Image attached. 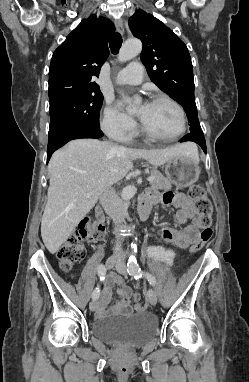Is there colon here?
<instances>
[{
    "instance_id": "obj_1",
    "label": "colon",
    "mask_w": 249,
    "mask_h": 382,
    "mask_svg": "<svg viewBox=\"0 0 249 382\" xmlns=\"http://www.w3.org/2000/svg\"><path fill=\"white\" fill-rule=\"evenodd\" d=\"M188 196L194 202L197 217L196 226L200 230L198 238L191 246V252L200 251L212 238L213 205L201 185H192ZM99 236V228L89 219H82L73 234H71L58 250L60 266L64 271H70L75 263L85 255V242H93ZM136 310L143 311L145 306L137 302Z\"/></svg>"
}]
</instances>
